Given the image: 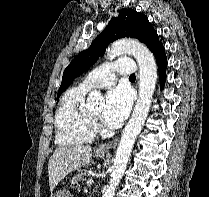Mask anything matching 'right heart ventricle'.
Returning <instances> with one entry per match:
<instances>
[{
    "label": "right heart ventricle",
    "mask_w": 209,
    "mask_h": 197,
    "mask_svg": "<svg viewBox=\"0 0 209 197\" xmlns=\"http://www.w3.org/2000/svg\"><path fill=\"white\" fill-rule=\"evenodd\" d=\"M89 89L78 85L63 96L55 116L56 142L61 146H77L91 142L94 130L84 106Z\"/></svg>",
    "instance_id": "e07e8e85"
}]
</instances>
